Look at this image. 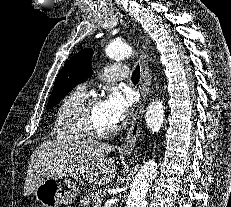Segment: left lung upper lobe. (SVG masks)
I'll return each mask as SVG.
<instances>
[{"label":"left lung upper lobe","instance_id":"5c2ea615","mask_svg":"<svg viewBox=\"0 0 231 207\" xmlns=\"http://www.w3.org/2000/svg\"><path fill=\"white\" fill-rule=\"evenodd\" d=\"M92 55V49H82L65 63L55 79L47 109L58 104L79 82L89 77L92 73Z\"/></svg>","mask_w":231,"mask_h":207}]
</instances>
